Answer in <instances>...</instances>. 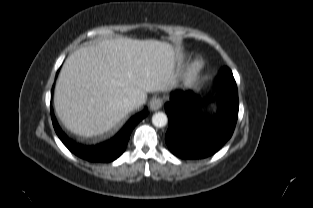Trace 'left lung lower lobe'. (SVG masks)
Segmentation results:
<instances>
[{
	"mask_svg": "<svg viewBox=\"0 0 313 208\" xmlns=\"http://www.w3.org/2000/svg\"><path fill=\"white\" fill-rule=\"evenodd\" d=\"M218 103L215 111L203 112L205 102L191 91L176 92L165 104L169 119L166 144L177 157L206 158L217 152L232 136L238 118L235 80L215 81Z\"/></svg>",
	"mask_w": 313,
	"mask_h": 208,
	"instance_id": "0a47b994",
	"label": "left lung lower lobe"
}]
</instances>
